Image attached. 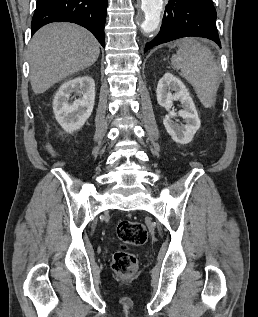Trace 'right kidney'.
Segmentation results:
<instances>
[{
  "instance_id": "ca27d5eb",
  "label": "right kidney",
  "mask_w": 258,
  "mask_h": 317,
  "mask_svg": "<svg viewBox=\"0 0 258 317\" xmlns=\"http://www.w3.org/2000/svg\"><path fill=\"white\" fill-rule=\"evenodd\" d=\"M74 96L79 98L72 100ZM94 102L95 82L92 76L70 78L61 84L53 98L55 118L66 132H73L85 124L93 110Z\"/></svg>"
}]
</instances>
